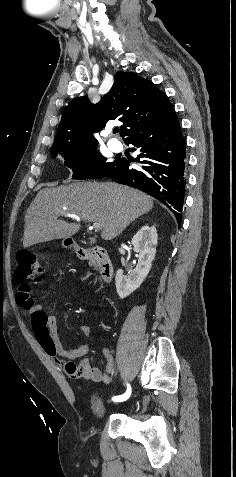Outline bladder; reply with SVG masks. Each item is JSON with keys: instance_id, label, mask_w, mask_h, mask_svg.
I'll use <instances>...</instances> for the list:
<instances>
[{"instance_id": "31cf9c89", "label": "bladder", "mask_w": 236, "mask_h": 477, "mask_svg": "<svg viewBox=\"0 0 236 477\" xmlns=\"http://www.w3.org/2000/svg\"><path fill=\"white\" fill-rule=\"evenodd\" d=\"M90 402L94 419L96 421L102 420L107 414L108 401L99 393H92L90 395Z\"/></svg>"}]
</instances>
